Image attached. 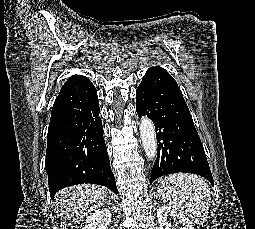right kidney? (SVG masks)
I'll return each mask as SVG.
<instances>
[{"label":"right kidney","mask_w":255,"mask_h":229,"mask_svg":"<svg viewBox=\"0 0 255 229\" xmlns=\"http://www.w3.org/2000/svg\"><path fill=\"white\" fill-rule=\"evenodd\" d=\"M111 213L107 208H98L92 211L83 222L82 229H108L111 222Z\"/></svg>","instance_id":"ca27d5eb"}]
</instances>
